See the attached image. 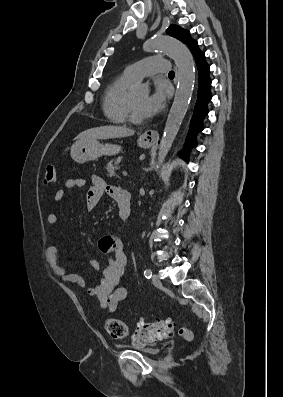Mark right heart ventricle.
Here are the masks:
<instances>
[{"label": "right heart ventricle", "instance_id": "1", "mask_svg": "<svg viewBox=\"0 0 283 397\" xmlns=\"http://www.w3.org/2000/svg\"><path fill=\"white\" fill-rule=\"evenodd\" d=\"M133 80L125 74L116 77L106 87L102 108L105 117L112 123L124 124L127 119V102L129 99V89Z\"/></svg>", "mask_w": 283, "mask_h": 397}]
</instances>
